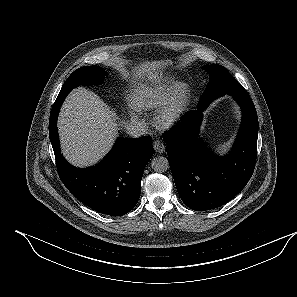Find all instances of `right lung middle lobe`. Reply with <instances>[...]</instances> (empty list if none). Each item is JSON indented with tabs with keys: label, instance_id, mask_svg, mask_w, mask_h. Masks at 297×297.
I'll use <instances>...</instances> for the list:
<instances>
[{
	"label": "right lung middle lobe",
	"instance_id": "dd1d6c3e",
	"mask_svg": "<svg viewBox=\"0 0 297 297\" xmlns=\"http://www.w3.org/2000/svg\"><path fill=\"white\" fill-rule=\"evenodd\" d=\"M106 76V72L99 66H84L75 70L63 84L58 96H67L79 85L99 84Z\"/></svg>",
	"mask_w": 297,
	"mask_h": 297
}]
</instances>
